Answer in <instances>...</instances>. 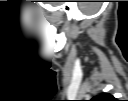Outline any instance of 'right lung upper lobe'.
I'll return each mask as SVG.
<instances>
[{"instance_id":"obj_1","label":"right lung upper lobe","mask_w":128,"mask_h":101,"mask_svg":"<svg viewBox=\"0 0 128 101\" xmlns=\"http://www.w3.org/2000/svg\"><path fill=\"white\" fill-rule=\"evenodd\" d=\"M96 98L98 99V101H113L114 100L113 96L106 94V93L96 96Z\"/></svg>"}]
</instances>
